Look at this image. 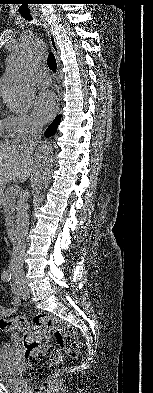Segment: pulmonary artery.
<instances>
[{
	"label": "pulmonary artery",
	"mask_w": 153,
	"mask_h": 393,
	"mask_svg": "<svg viewBox=\"0 0 153 393\" xmlns=\"http://www.w3.org/2000/svg\"><path fill=\"white\" fill-rule=\"evenodd\" d=\"M37 82L39 85H41L42 87H47L50 85L51 83V78L50 75L48 73H39L37 75Z\"/></svg>",
	"instance_id": "pulmonary-artery-1"
}]
</instances>
